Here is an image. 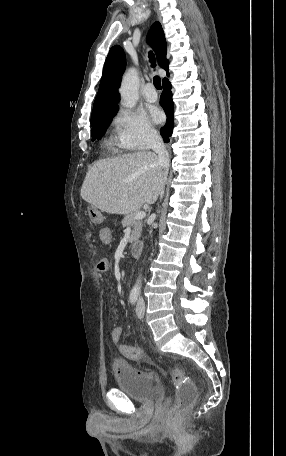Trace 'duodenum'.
<instances>
[{
    "label": "duodenum",
    "mask_w": 286,
    "mask_h": 456,
    "mask_svg": "<svg viewBox=\"0 0 286 456\" xmlns=\"http://www.w3.org/2000/svg\"><path fill=\"white\" fill-rule=\"evenodd\" d=\"M131 254L135 257L139 256L142 251V242L136 241L131 245Z\"/></svg>",
    "instance_id": "1"
}]
</instances>
